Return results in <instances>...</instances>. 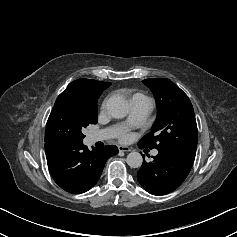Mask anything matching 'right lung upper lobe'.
<instances>
[{
	"instance_id": "1",
	"label": "right lung upper lobe",
	"mask_w": 237,
	"mask_h": 237,
	"mask_svg": "<svg viewBox=\"0 0 237 237\" xmlns=\"http://www.w3.org/2000/svg\"><path fill=\"white\" fill-rule=\"evenodd\" d=\"M111 85L110 82H100L92 79H78L71 82L63 93L83 100L89 105H97L101 93Z\"/></svg>"
}]
</instances>
